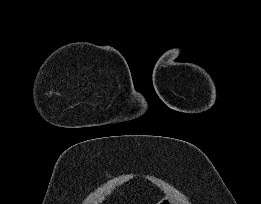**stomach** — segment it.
<instances>
[{"instance_id":"0dacf381","label":"stomach","mask_w":261,"mask_h":204,"mask_svg":"<svg viewBox=\"0 0 261 204\" xmlns=\"http://www.w3.org/2000/svg\"><path fill=\"white\" fill-rule=\"evenodd\" d=\"M159 204H171L169 199H162Z\"/></svg>"}]
</instances>
